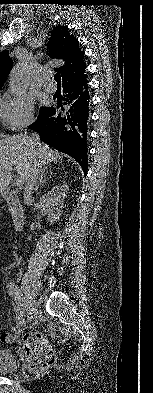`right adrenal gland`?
Returning a JSON list of instances; mask_svg holds the SVG:
<instances>
[{
    "instance_id": "obj_1",
    "label": "right adrenal gland",
    "mask_w": 153,
    "mask_h": 393,
    "mask_svg": "<svg viewBox=\"0 0 153 393\" xmlns=\"http://www.w3.org/2000/svg\"><path fill=\"white\" fill-rule=\"evenodd\" d=\"M46 174H48V171H46ZM42 179H43V177H41V179H40V183L38 184V187L36 189L37 192H38V190L40 191L41 188H42V185H43V182H44V180H42Z\"/></svg>"
}]
</instances>
